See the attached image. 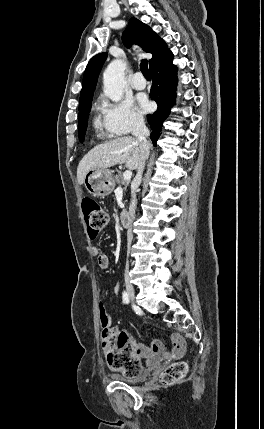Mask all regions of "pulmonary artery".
<instances>
[{
    "mask_svg": "<svg viewBox=\"0 0 264 429\" xmlns=\"http://www.w3.org/2000/svg\"><path fill=\"white\" fill-rule=\"evenodd\" d=\"M132 85L136 90H143L146 87V81L140 72H136L132 79Z\"/></svg>",
    "mask_w": 264,
    "mask_h": 429,
    "instance_id": "pulmonary-artery-1",
    "label": "pulmonary artery"
}]
</instances>
